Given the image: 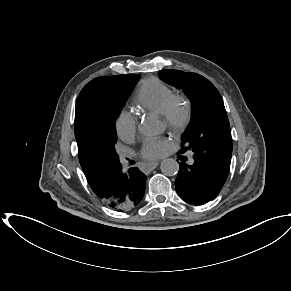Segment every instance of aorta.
<instances>
[{
    "instance_id": "aorta-1",
    "label": "aorta",
    "mask_w": 291,
    "mask_h": 291,
    "mask_svg": "<svg viewBox=\"0 0 291 291\" xmlns=\"http://www.w3.org/2000/svg\"><path fill=\"white\" fill-rule=\"evenodd\" d=\"M138 131L145 136H152L156 132L154 125L149 121H142L138 125ZM160 169L165 175L173 176L178 173L179 164L175 159L168 158L162 161Z\"/></svg>"
}]
</instances>
